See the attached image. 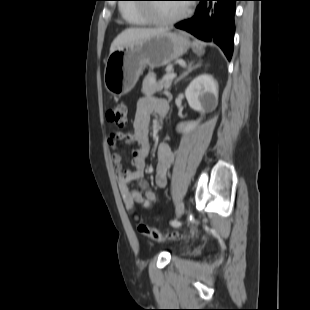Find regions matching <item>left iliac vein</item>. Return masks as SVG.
I'll return each mask as SVG.
<instances>
[{"label": "left iliac vein", "instance_id": "left-iliac-vein-1", "mask_svg": "<svg viewBox=\"0 0 310 310\" xmlns=\"http://www.w3.org/2000/svg\"><path fill=\"white\" fill-rule=\"evenodd\" d=\"M184 212V202L180 201L177 205V217H180Z\"/></svg>", "mask_w": 310, "mask_h": 310}]
</instances>
